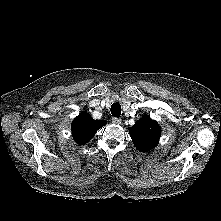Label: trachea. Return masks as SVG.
<instances>
[{"label": "trachea", "instance_id": "1", "mask_svg": "<svg viewBox=\"0 0 221 221\" xmlns=\"http://www.w3.org/2000/svg\"><path fill=\"white\" fill-rule=\"evenodd\" d=\"M111 114L114 117H119L121 115V105L118 102L112 104Z\"/></svg>", "mask_w": 221, "mask_h": 221}]
</instances>
